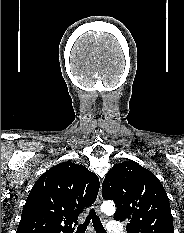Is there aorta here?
I'll return each mask as SVG.
<instances>
[{"instance_id": "762f6f07", "label": "aorta", "mask_w": 184, "mask_h": 233, "mask_svg": "<svg viewBox=\"0 0 184 233\" xmlns=\"http://www.w3.org/2000/svg\"><path fill=\"white\" fill-rule=\"evenodd\" d=\"M101 209L107 215H112L115 212L114 203L111 201H104L101 205Z\"/></svg>"}]
</instances>
